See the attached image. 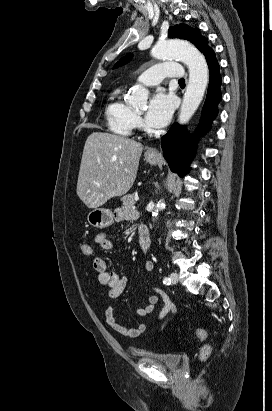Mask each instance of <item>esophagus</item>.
<instances>
[{"mask_svg": "<svg viewBox=\"0 0 272 411\" xmlns=\"http://www.w3.org/2000/svg\"><path fill=\"white\" fill-rule=\"evenodd\" d=\"M148 154L152 155V156H160L159 152L157 149H149L148 150Z\"/></svg>", "mask_w": 272, "mask_h": 411, "instance_id": "34e87169", "label": "esophagus"}]
</instances>
